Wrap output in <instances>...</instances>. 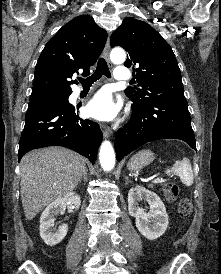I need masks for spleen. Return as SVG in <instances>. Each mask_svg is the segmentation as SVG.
<instances>
[{
    "mask_svg": "<svg viewBox=\"0 0 221 274\" xmlns=\"http://www.w3.org/2000/svg\"><path fill=\"white\" fill-rule=\"evenodd\" d=\"M167 174H175L180 177L181 182L186 186H191L194 181V175L191 168V163L189 159L183 158L178 160L171 168L166 169ZM153 187L152 185H150Z\"/></svg>",
    "mask_w": 221,
    "mask_h": 274,
    "instance_id": "obj_1",
    "label": "spleen"
}]
</instances>
